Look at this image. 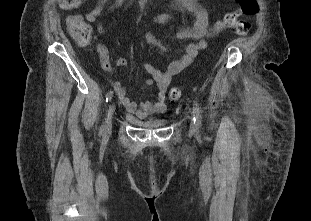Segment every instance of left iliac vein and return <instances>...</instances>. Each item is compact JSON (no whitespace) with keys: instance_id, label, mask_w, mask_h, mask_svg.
I'll use <instances>...</instances> for the list:
<instances>
[{"instance_id":"obj_1","label":"left iliac vein","mask_w":311,"mask_h":221,"mask_svg":"<svg viewBox=\"0 0 311 221\" xmlns=\"http://www.w3.org/2000/svg\"><path fill=\"white\" fill-rule=\"evenodd\" d=\"M196 128H197L196 123L194 122V120H191V129L196 130Z\"/></svg>"}]
</instances>
